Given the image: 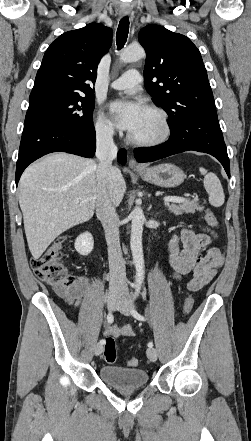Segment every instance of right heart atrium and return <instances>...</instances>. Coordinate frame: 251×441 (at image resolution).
<instances>
[{
  "label": "right heart atrium",
  "instance_id": "d8ad5b80",
  "mask_svg": "<svg viewBox=\"0 0 251 441\" xmlns=\"http://www.w3.org/2000/svg\"><path fill=\"white\" fill-rule=\"evenodd\" d=\"M95 132L98 138L102 140H110L115 134L113 124L99 112L95 120Z\"/></svg>",
  "mask_w": 251,
  "mask_h": 441
}]
</instances>
